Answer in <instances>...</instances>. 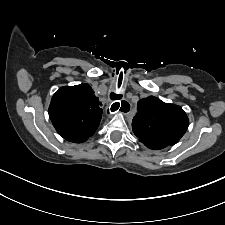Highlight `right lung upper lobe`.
Instances as JSON below:
<instances>
[{"instance_id": "right-lung-upper-lobe-1", "label": "right lung upper lobe", "mask_w": 225, "mask_h": 225, "mask_svg": "<svg viewBox=\"0 0 225 225\" xmlns=\"http://www.w3.org/2000/svg\"><path fill=\"white\" fill-rule=\"evenodd\" d=\"M101 106L88 84L64 86L51 99L49 117L64 139L82 143L99 126L103 113Z\"/></svg>"}]
</instances>
